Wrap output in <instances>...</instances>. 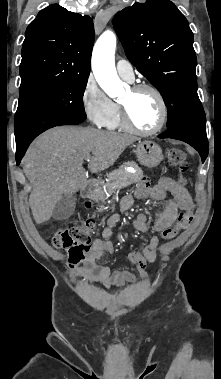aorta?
<instances>
[{"mask_svg": "<svg viewBox=\"0 0 221 379\" xmlns=\"http://www.w3.org/2000/svg\"><path fill=\"white\" fill-rule=\"evenodd\" d=\"M116 36L111 31L104 32L97 40L92 54L94 76L107 95L117 97L123 85L115 68Z\"/></svg>", "mask_w": 221, "mask_h": 379, "instance_id": "aorta-1", "label": "aorta"}]
</instances>
